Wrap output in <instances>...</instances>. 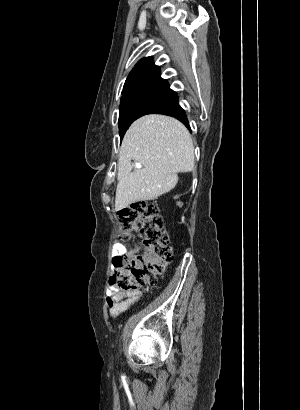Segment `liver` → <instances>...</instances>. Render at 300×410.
<instances>
[{"label":"liver","mask_w":300,"mask_h":410,"mask_svg":"<svg viewBox=\"0 0 300 410\" xmlns=\"http://www.w3.org/2000/svg\"><path fill=\"white\" fill-rule=\"evenodd\" d=\"M131 160L144 168L132 171ZM194 168V147L188 129L164 115H146L127 130L120 149L115 210L157 199L172 190L179 172Z\"/></svg>","instance_id":"6515ba94"}]
</instances>
